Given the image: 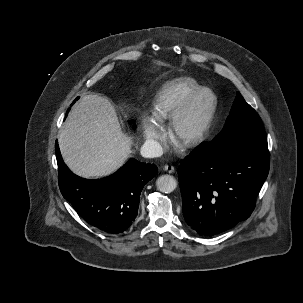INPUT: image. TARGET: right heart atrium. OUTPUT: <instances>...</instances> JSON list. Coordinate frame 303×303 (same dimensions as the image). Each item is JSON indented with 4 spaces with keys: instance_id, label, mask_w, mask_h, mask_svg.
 I'll list each match as a JSON object with an SVG mask.
<instances>
[{
    "instance_id": "obj_1",
    "label": "right heart atrium",
    "mask_w": 303,
    "mask_h": 303,
    "mask_svg": "<svg viewBox=\"0 0 303 303\" xmlns=\"http://www.w3.org/2000/svg\"><path fill=\"white\" fill-rule=\"evenodd\" d=\"M142 129L146 141L152 147H157L162 142L164 136L163 129L154 119L143 115Z\"/></svg>"
}]
</instances>
